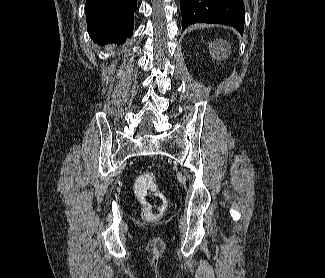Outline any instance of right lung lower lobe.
<instances>
[{
	"label": "right lung lower lobe",
	"instance_id": "1",
	"mask_svg": "<svg viewBox=\"0 0 325 278\" xmlns=\"http://www.w3.org/2000/svg\"><path fill=\"white\" fill-rule=\"evenodd\" d=\"M137 0H87L85 13L90 37L100 44L124 43L133 34Z\"/></svg>",
	"mask_w": 325,
	"mask_h": 278
}]
</instances>
